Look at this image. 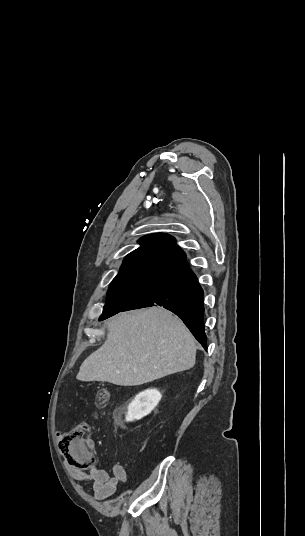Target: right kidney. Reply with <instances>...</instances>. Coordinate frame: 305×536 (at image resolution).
Listing matches in <instances>:
<instances>
[{
  "label": "right kidney",
  "instance_id": "right-kidney-1",
  "mask_svg": "<svg viewBox=\"0 0 305 536\" xmlns=\"http://www.w3.org/2000/svg\"><path fill=\"white\" fill-rule=\"evenodd\" d=\"M161 398L162 394L158 390L140 392L129 406L127 420H140L143 416H147L156 408Z\"/></svg>",
  "mask_w": 305,
  "mask_h": 536
}]
</instances>
